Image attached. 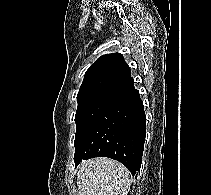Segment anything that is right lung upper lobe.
Instances as JSON below:
<instances>
[{"mask_svg":"<svg viewBox=\"0 0 211 195\" xmlns=\"http://www.w3.org/2000/svg\"><path fill=\"white\" fill-rule=\"evenodd\" d=\"M130 68L120 53L101 56L86 71L78 94L89 91L117 90L134 83Z\"/></svg>","mask_w":211,"mask_h":195,"instance_id":"cb5924a9","label":"right lung upper lobe"}]
</instances>
